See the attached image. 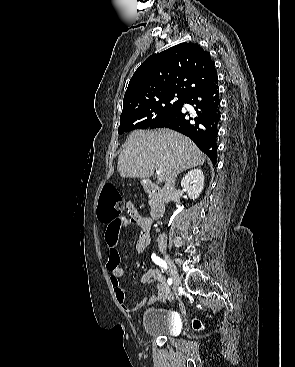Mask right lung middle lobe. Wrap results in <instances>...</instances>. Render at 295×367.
<instances>
[{"label":"right lung middle lobe","instance_id":"dd1d6c3e","mask_svg":"<svg viewBox=\"0 0 295 367\" xmlns=\"http://www.w3.org/2000/svg\"><path fill=\"white\" fill-rule=\"evenodd\" d=\"M185 98L183 95L163 94L129 104L121 114L118 133L149 128L158 120L179 109Z\"/></svg>","mask_w":295,"mask_h":367}]
</instances>
